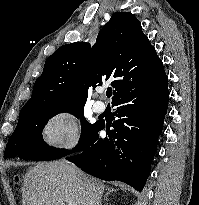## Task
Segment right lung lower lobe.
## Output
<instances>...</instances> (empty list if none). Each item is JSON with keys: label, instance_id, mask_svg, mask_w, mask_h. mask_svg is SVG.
I'll use <instances>...</instances> for the list:
<instances>
[{"label": "right lung lower lobe", "instance_id": "98d812e1", "mask_svg": "<svg viewBox=\"0 0 199 205\" xmlns=\"http://www.w3.org/2000/svg\"><path fill=\"white\" fill-rule=\"evenodd\" d=\"M167 81L164 70L134 81L112 101L118 119L109 137L99 138L98 131L104 128L99 123L81 152L66 159L92 176L125 182L141 191L163 129L169 99Z\"/></svg>", "mask_w": 199, "mask_h": 205}]
</instances>
